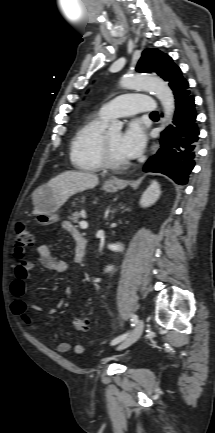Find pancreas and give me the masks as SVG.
I'll use <instances>...</instances> for the list:
<instances>
[{"label":"pancreas","mask_w":215,"mask_h":433,"mask_svg":"<svg viewBox=\"0 0 215 433\" xmlns=\"http://www.w3.org/2000/svg\"><path fill=\"white\" fill-rule=\"evenodd\" d=\"M80 217L81 214L79 212H74L71 216L68 217V219L74 223H79Z\"/></svg>","instance_id":"cf45deb5"}]
</instances>
